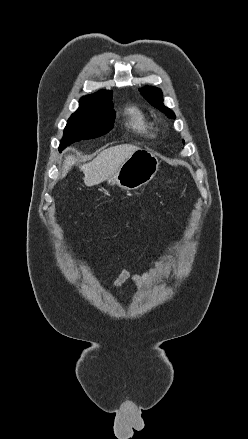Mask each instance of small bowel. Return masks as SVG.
<instances>
[{"label":"small bowel","instance_id":"small-bowel-1","mask_svg":"<svg viewBox=\"0 0 248 439\" xmlns=\"http://www.w3.org/2000/svg\"><path fill=\"white\" fill-rule=\"evenodd\" d=\"M171 262L168 261H161L155 264L152 268H150L148 271L138 274V273H132L131 270L128 267H122L120 273L116 277L113 289L114 291H117L127 280L131 279L137 290L141 289L144 285H153V279L158 277H164L165 274L161 270V267L170 264Z\"/></svg>","mask_w":248,"mask_h":439}]
</instances>
